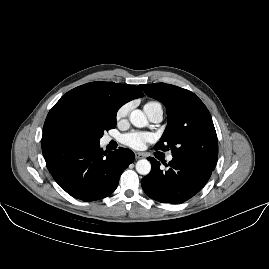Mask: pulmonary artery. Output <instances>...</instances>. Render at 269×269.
<instances>
[{"instance_id":"pulmonary-artery-1","label":"pulmonary artery","mask_w":269,"mask_h":269,"mask_svg":"<svg viewBox=\"0 0 269 269\" xmlns=\"http://www.w3.org/2000/svg\"><path fill=\"white\" fill-rule=\"evenodd\" d=\"M146 115L148 116L149 120L153 123H159L163 119V107L160 103H155L153 105H149L144 108ZM173 156L169 154L167 156V161H171Z\"/></svg>"}]
</instances>
